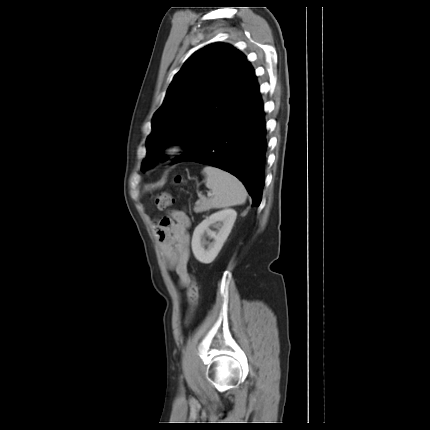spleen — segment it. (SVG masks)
Here are the masks:
<instances>
[{
  "label": "spleen",
  "mask_w": 430,
  "mask_h": 430,
  "mask_svg": "<svg viewBox=\"0 0 430 430\" xmlns=\"http://www.w3.org/2000/svg\"><path fill=\"white\" fill-rule=\"evenodd\" d=\"M206 186L214 192L211 204L215 208H226L243 204L247 192L242 182L231 173L213 166H205Z\"/></svg>",
  "instance_id": "3e777b00"
}]
</instances>
